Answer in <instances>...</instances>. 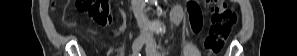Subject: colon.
Returning <instances> with one entry per match:
<instances>
[{"label":"colon","mask_w":297,"mask_h":56,"mask_svg":"<svg viewBox=\"0 0 297 56\" xmlns=\"http://www.w3.org/2000/svg\"><path fill=\"white\" fill-rule=\"evenodd\" d=\"M211 10V26L205 39V48L208 55H216L223 48L226 39L237 21L233 8L223 1H208ZM79 10L87 11L100 24L111 21L110 5L108 0H77ZM201 11V10H200Z\"/></svg>","instance_id":"obj_1"}]
</instances>
